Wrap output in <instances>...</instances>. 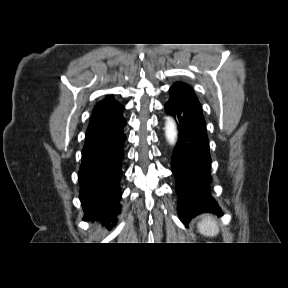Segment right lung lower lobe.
<instances>
[{
    "instance_id": "1",
    "label": "right lung lower lobe",
    "mask_w": 288,
    "mask_h": 288,
    "mask_svg": "<svg viewBox=\"0 0 288 288\" xmlns=\"http://www.w3.org/2000/svg\"><path fill=\"white\" fill-rule=\"evenodd\" d=\"M123 123L120 130L109 139L92 146H84L79 169V198L86 219L99 220L109 225L116 222L120 213L124 159Z\"/></svg>"
}]
</instances>
